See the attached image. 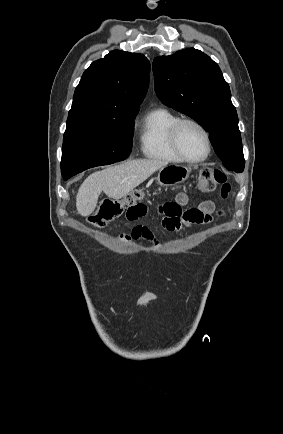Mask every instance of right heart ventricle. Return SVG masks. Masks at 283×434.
Here are the masks:
<instances>
[{"instance_id":"e07e8e85","label":"right heart ventricle","mask_w":283,"mask_h":434,"mask_svg":"<svg viewBox=\"0 0 283 434\" xmlns=\"http://www.w3.org/2000/svg\"><path fill=\"white\" fill-rule=\"evenodd\" d=\"M178 119L176 114L165 108L147 113L140 130L141 151L145 157L165 163L181 162L169 138L170 129Z\"/></svg>"}]
</instances>
